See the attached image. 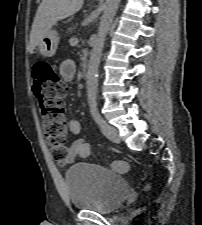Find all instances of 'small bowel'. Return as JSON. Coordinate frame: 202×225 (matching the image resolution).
Segmentation results:
<instances>
[{
    "instance_id": "small-bowel-1",
    "label": "small bowel",
    "mask_w": 202,
    "mask_h": 225,
    "mask_svg": "<svg viewBox=\"0 0 202 225\" xmlns=\"http://www.w3.org/2000/svg\"><path fill=\"white\" fill-rule=\"evenodd\" d=\"M76 71V63L72 59H66L60 64L59 72L65 81H72L76 75ZM67 125L68 131L71 134L78 135L80 133L81 124L77 118H69L67 120ZM90 154V143L84 138H78L71 143L67 155L61 158V162L65 165H71L77 159H87Z\"/></svg>"
}]
</instances>
